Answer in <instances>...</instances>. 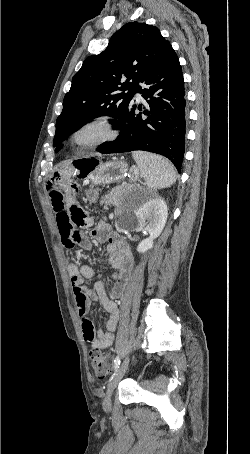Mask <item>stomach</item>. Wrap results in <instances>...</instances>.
I'll list each match as a JSON object with an SVG mask.
<instances>
[{"label":"stomach","instance_id":"stomach-1","mask_svg":"<svg viewBox=\"0 0 250 454\" xmlns=\"http://www.w3.org/2000/svg\"><path fill=\"white\" fill-rule=\"evenodd\" d=\"M127 172V163L122 160L102 162L97 158H85L77 162L75 175L95 185L109 184L123 179ZM141 177L138 169H132L131 179L136 181Z\"/></svg>","mask_w":250,"mask_h":454}]
</instances>
